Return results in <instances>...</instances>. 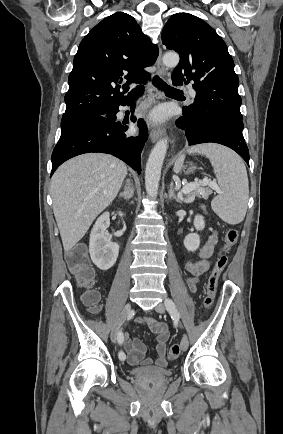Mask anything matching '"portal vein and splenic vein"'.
Here are the masks:
<instances>
[{
    "instance_id": "1",
    "label": "portal vein and splenic vein",
    "mask_w": 283,
    "mask_h": 434,
    "mask_svg": "<svg viewBox=\"0 0 283 434\" xmlns=\"http://www.w3.org/2000/svg\"><path fill=\"white\" fill-rule=\"evenodd\" d=\"M202 184L203 185H208V186H210L212 189H214L216 191L219 190L218 185L215 182H210L208 180V178H206V177L203 179ZM199 185H200V183L197 182V181L189 183V184L185 185L182 188L181 193L188 194V193L192 192L194 189H196L197 187H199Z\"/></svg>"
}]
</instances>
